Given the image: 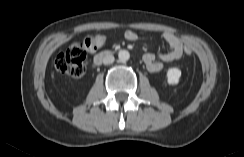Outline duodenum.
<instances>
[{
    "instance_id": "duodenum-1",
    "label": "duodenum",
    "mask_w": 244,
    "mask_h": 157,
    "mask_svg": "<svg viewBox=\"0 0 244 157\" xmlns=\"http://www.w3.org/2000/svg\"><path fill=\"white\" fill-rule=\"evenodd\" d=\"M112 51L110 50H106V51H102L100 53H98L97 55H95V57L93 58V66H98L100 65L104 59H106L107 57L112 55Z\"/></svg>"
}]
</instances>
